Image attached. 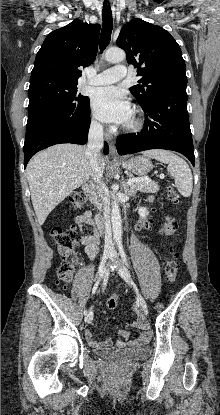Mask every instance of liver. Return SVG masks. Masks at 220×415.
Wrapping results in <instances>:
<instances>
[{"mask_svg":"<svg viewBox=\"0 0 220 415\" xmlns=\"http://www.w3.org/2000/svg\"><path fill=\"white\" fill-rule=\"evenodd\" d=\"M87 147L57 144L35 155L27 165L26 175L38 223L44 224L51 211L91 176ZM102 172L105 158L98 157Z\"/></svg>","mask_w":220,"mask_h":415,"instance_id":"obj_1","label":"liver"}]
</instances>
